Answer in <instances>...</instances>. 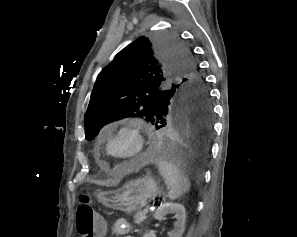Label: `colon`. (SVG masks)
<instances>
[{
    "instance_id": "colon-1",
    "label": "colon",
    "mask_w": 297,
    "mask_h": 237,
    "mask_svg": "<svg viewBox=\"0 0 297 237\" xmlns=\"http://www.w3.org/2000/svg\"><path fill=\"white\" fill-rule=\"evenodd\" d=\"M76 227L79 237H98L101 222L92 206L91 197L84 193L79 198L76 213Z\"/></svg>"
}]
</instances>
